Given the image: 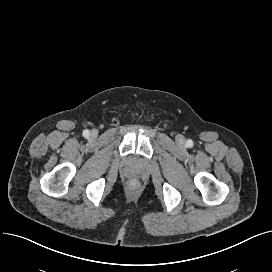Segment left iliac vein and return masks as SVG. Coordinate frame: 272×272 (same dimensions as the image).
Listing matches in <instances>:
<instances>
[{
    "mask_svg": "<svg viewBox=\"0 0 272 272\" xmlns=\"http://www.w3.org/2000/svg\"><path fill=\"white\" fill-rule=\"evenodd\" d=\"M178 140H179V142H181V143L184 142V138H183L182 136H179V139H178Z\"/></svg>",
    "mask_w": 272,
    "mask_h": 272,
    "instance_id": "1",
    "label": "left iliac vein"
}]
</instances>
